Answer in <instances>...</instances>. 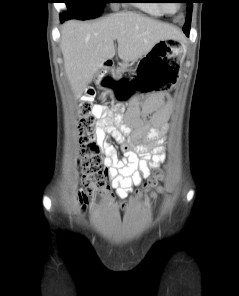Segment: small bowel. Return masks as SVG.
<instances>
[{"instance_id":"c3829d8e","label":"small bowel","mask_w":239,"mask_h":296,"mask_svg":"<svg viewBox=\"0 0 239 296\" xmlns=\"http://www.w3.org/2000/svg\"><path fill=\"white\" fill-rule=\"evenodd\" d=\"M162 101L161 95H154L142 108L133 106L126 112L122 106L111 110L95 106V115L100 117L96 132L104 155L105 175L120 199H125L142 178L165 160L163 143L169 129L170 105L162 106ZM107 135L121 144L123 158L106 141Z\"/></svg>"}]
</instances>
